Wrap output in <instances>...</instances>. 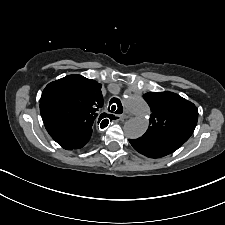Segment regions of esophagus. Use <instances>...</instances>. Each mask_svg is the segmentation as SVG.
Returning a JSON list of instances; mask_svg holds the SVG:
<instances>
[{"label": "esophagus", "mask_w": 225, "mask_h": 225, "mask_svg": "<svg viewBox=\"0 0 225 225\" xmlns=\"http://www.w3.org/2000/svg\"><path fill=\"white\" fill-rule=\"evenodd\" d=\"M128 118V115L124 114V115H121V116H115L114 119L115 121H118V120H125Z\"/></svg>", "instance_id": "1"}]
</instances>
